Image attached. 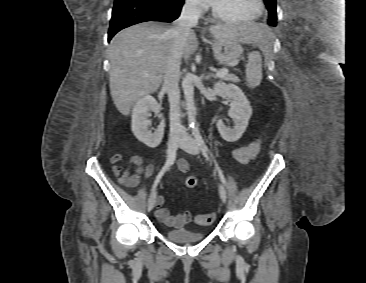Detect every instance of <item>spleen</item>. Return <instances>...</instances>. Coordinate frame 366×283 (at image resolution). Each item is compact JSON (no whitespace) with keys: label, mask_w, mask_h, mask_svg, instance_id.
<instances>
[{"label":"spleen","mask_w":366,"mask_h":283,"mask_svg":"<svg viewBox=\"0 0 366 283\" xmlns=\"http://www.w3.org/2000/svg\"><path fill=\"white\" fill-rule=\"evenodd\" d=\"M262 80V59L259 52L253 51L248 55L246 65V81L250 88L260 85Z\"/></svg>","instance_id":"3e777b00"}]
</instances>
